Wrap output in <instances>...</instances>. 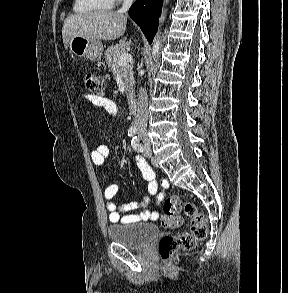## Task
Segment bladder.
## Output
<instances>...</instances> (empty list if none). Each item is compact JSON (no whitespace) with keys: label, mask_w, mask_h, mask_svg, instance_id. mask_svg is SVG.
I'll use <instances>...</instances> for the list:
<instances>
[{"label":"bladder","mask_w":288,"mask_h":293,"mask_svg":"<svg viewBox=\"0 0 288 293\" xmlns=\"http://www.w3.org/2000/svg\"><path fill=\"white\" fill-rule=\"evenodd\" d=\"M109 238L127 248L138 249L148 244L157 234L158 228L150 223L114 224L107 228Z\"/></svg>","instance_id":"31cf9c89"}]
</instances>
